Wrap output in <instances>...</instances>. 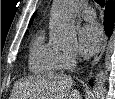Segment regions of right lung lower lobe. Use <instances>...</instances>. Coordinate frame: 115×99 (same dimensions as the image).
I'll list each match as a JSON object with an SVG mask.
<instances>
[{
  "mask_svg": "<svg viewBox=\"0 0 115 99\" xmlns=\"http://www.w3.org/2000/svg\"><path fill=\"white\" fill-rule=\"evenodd\" d=\"M115 20V3L108 1L106 3V10L104 15L105 31L108 35H111Z\"/></svg>",
  "mask_w": 115,
  "mask_h": 99,
  "instance_id": "right-lung-lower-lobe-1",
  "label": "right lung lower lobe"
}]
</instances>
